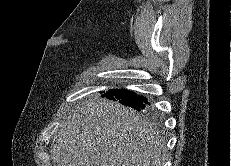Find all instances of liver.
<instances>
[{
  "mask_svg": "<svg viewBox=\"0 0 231 166\" xmlns=\"http://www.w3.org/2000/svg\"><path fill=\"white\" fill-rule=\"evenodd\" d=\"M165 139L134 109L106 99L76 107L55 132L54 166H161Z\"/></svg>",
  "mask_w": 231,
  "mask_h": 166,
  "instance_id": "1",
  "label": "liver"
}]
</instances>
